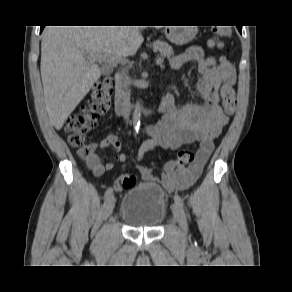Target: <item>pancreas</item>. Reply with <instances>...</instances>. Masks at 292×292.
I'll list each match as a JSON object with an SVG mask.
<instances>
[{"label":"pancreas","mask_w":292,"mask_h":292,"mask_svg":"<svg viewBox=\"0 0 292 292\" xmlns=\"http://www.w3.org/2000/svg\"><path fill=\"white\" fill-rule=\"evenodd\" d=\"M154 51H159L162 57H171L174 55L172 47L164 41H155L153 43Z\"/></svg>","instance_id":"pancreas-1"}]
</instances>
